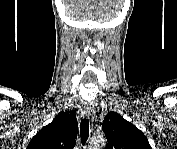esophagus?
Returning <instances> with one entry per match:
<instances>
[{"instance_id": "34e87169", "label": "esophagus", "mask_w": 177, "mask_h": 149, "mask_svg": "<svg viewBox=\"0 0 177 149\" xmlns=\"http://www.w3.org/2000/svg\"><path fill=\"white\" fill-rule=\"evenodd\" d=\"M92 113H93V107H92V105L89 104V103H86L85 106H84V114L87 117H91Z\"/></svg>"}]
</instances>
